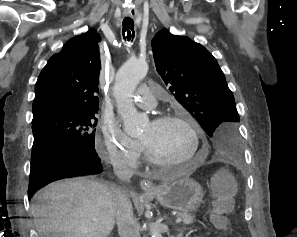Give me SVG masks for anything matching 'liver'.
<instances>
[{
	"mask_svg": "<svg viewBox=\"0 0 297 237\" xmlns=\"http://www.w3.org/2000/svg\"><path fill=\"white\" fill-rule=\"evenodd\" d=\"M113 192L85 177L53 182L33 198L35 228L40 237H107L115 225Z\"/></svg>",
	"mask_w": 297,
	"mask_h": 237,
	"instance_id": "liver-1",
	"label": "liver"
}]
</instances>
